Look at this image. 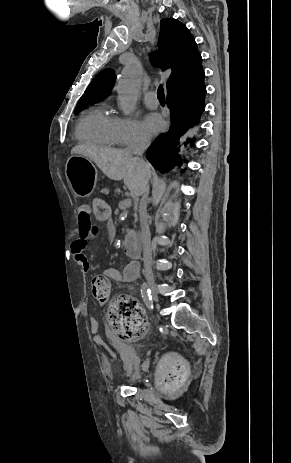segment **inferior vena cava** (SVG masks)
I'll list each match as a JSON object with an SVG mask.
<instances>
[{
  "mask_svg": "<svg viewBox=\"0 0 291 463\" xmlns=\"http://www.w3.org/2000/svg\"><path fill=\"white\" fill-rule=\"evenodd\" d=\"M150 137L147 134H140L137 141L131 145L129 148H127V152L130 153L131 155H136V159L144 165L145 167L148 168V164L143 160L142 155L144 151L149 147L150 145ZM148 195H149V184L147 182L143 193L142 197L140 200V205H139V213H140V226H141V239H142V245H143V256L144 259H150L151 258V243H150V230H149V225H148V215H147V202H148ZM147 275L151 276V271H147Z\"/></svg>",
  "mask_w": 291,
  "mask_h": 463,
  "instance_id": "obj_1",
  "label": "inferior vena cava"
}]
</instances>
